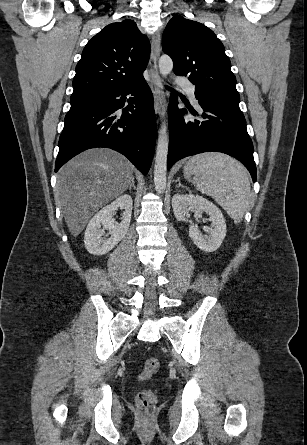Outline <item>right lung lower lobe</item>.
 Instances as JSON below:
<instances>
[{"label": "right lung lower lobe", "mask_w": 307, "mask_h": 445, "mask_svg": "<svg viewBox=\"0 0 307 445\" xmlns=\"http://www.w3.org/2000/svg\"><path fill=\"white\" fill-rule=\"evenodd\" d=\"M126 102L129 105L119 113L117 110ZM70 103L59 139L55 172L86 149L107 147L125 155L144 175L148 173L156 122L153 95L144 78L127 86L71 99Z\"/></svg>", "instance_id": "1"}]
</instances>
